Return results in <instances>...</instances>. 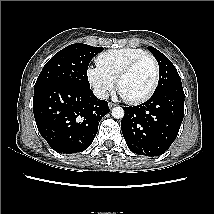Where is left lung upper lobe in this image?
<instances>
[{
	"label": "left lung upper lobe",
	"instance_id": "1",
	"mask_svg": "<svg viewBox=\"0 0 214 214\" xmlns=\"http://www.w3.org/2000/svg\"><path fill=\"white\" fill-rule=\"evenodd\" d=\"M148 50L157 59L160 69L159 82L154 93L172 85H182L180 76L172 62L154 47L149 46Z\"/></svg>",
	"mask_w": 214,
	"mask_h": 214
}]
</instances>
